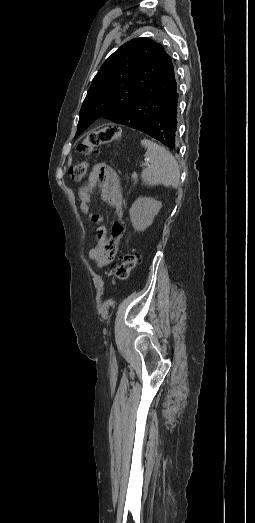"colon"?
I'll use <instances>...</instances> for the list:
<instances>
[{
  "mask_svg": "<svg viewBox=\"0 0 255 523\" xmlns=\"http://www.w3.org/2000/svg\"><path fill=\"white\" fill-rule=\"evenodd\" d=\"M121 131L116 126H107L93 130L87 134L84 140L79 144L78 150L83 155H90L97 147L116 142L119 140ZM89 164L87 161H81L73 165L69 173L71 177L80 181L87 174ZM138 256L135 252H127L120 257L119 264L108 272L113 280H126L130 272L136 267Z\"/></svg>",
  "mask_w": 255,
  "mask_h": 523,
  "instance_id": "5ec220e1",
  "label": "colon"
}]
</instances>
